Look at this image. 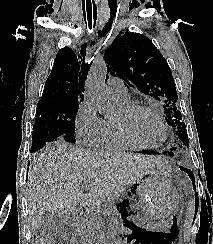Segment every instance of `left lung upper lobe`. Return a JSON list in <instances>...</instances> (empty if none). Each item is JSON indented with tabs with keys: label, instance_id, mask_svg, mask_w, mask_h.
<instances>
[{
	"label": "left lung upper lobe",
	"instance_id": "5c2ea615",
	"mask_svg": "<svg viewBox=\"0 0 213 244\" xmlns=\"http://www.w3.org/2000/svg\"><path fill=\"white\" fill-rule=\"evenodd\" d=\"M104 60L110 65L111 75L163 105L166 122L188 146L185 123L176 107L178 96L171 69L152 41L139 33L121 32L105 51Z\"/></svg>",
	"mask_w": 213,
	"mask_h": 244
}]
</instances>
